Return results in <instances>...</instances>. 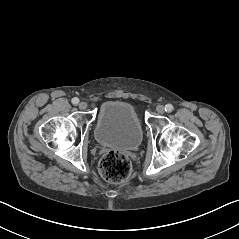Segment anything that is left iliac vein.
<instances>
[{
    "label": "left iliac vein",
    "mask_w": 239,
    "mask_h": 239,
    "mask_svg": "<svg viewBox=\"0 0 239 239\" xmlns=\"http://www.w3.org/2000/svg\"><path fill=\"white\" fill-rule=\"evenodd\" d=\"M156 111L159 113V114H163L165 112V108L163 105H158L156 107Z\"/></svg>",
    "instance_id": "left-iliac-vein-1"
}]
</instances>
